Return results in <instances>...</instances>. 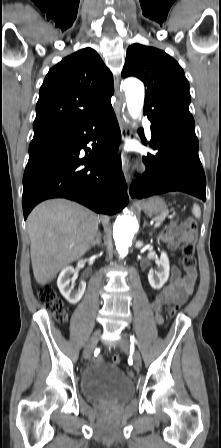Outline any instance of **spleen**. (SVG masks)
Instances as JSON below:
<instances>
[{
    "label": "spleen",
    "mask_w": 221,
    "mask_h": 448,
    "mask_svg": "<svg viewBox=\"0 0 221 448\" xmlns=\"http://www.w3.org/2000/svg\"><path fill=\"white\" fill-rule=\"evenodd\" d=\"M192 212H193V214H194V216L196 218H199L201 216V210H200V207L197 204L193 205Z\"/></svg>",
    "instance_id": "1"
}]
</instances>
